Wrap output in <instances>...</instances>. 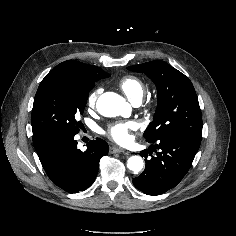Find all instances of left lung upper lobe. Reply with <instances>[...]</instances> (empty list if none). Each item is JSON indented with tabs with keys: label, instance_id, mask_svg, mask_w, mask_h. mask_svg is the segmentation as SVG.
Returning <instances> with one entry per match:
<instances>
[{
	"label": "left lung upper lobe",
	"instance_id": "left-lung-upper-lobe-1",
	"mask_svg": "<svg viewBox=\"0 0 236 236\" xmlns=\"http://www.w3.org/2000/svg\"><path fill=\"white\" fill-rule=\"evenodd\" d=\"M128 70L144 72L156 85L158 104L153 121L144 132L147 141L180 135L202 139V115L191 81L164 61L129 66Z\"/></svg>",
	"mask_w": 236,
	"mask_h": 236
}]
</instances>
